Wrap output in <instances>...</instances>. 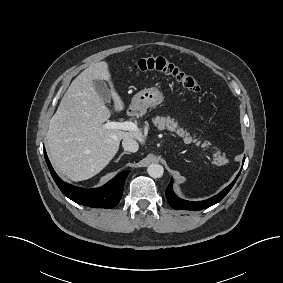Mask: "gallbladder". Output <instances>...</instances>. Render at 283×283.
I'll return each mask as SVG.
<instances>
[{"label":"gallbladder","mask_w":283,"mask_h":283,"mask_svg":"<svg viewBox=\"0 0 283 283\" xmlns=\"http://www.w3.org/2000/svg\"><path fill=\"white\" fill-rule=\"evenodd\" d=\"M93 84L96 92L99 94L103 102L110 103L111 93L109 91V88L107 87V84L102 80H94Z\"/></svg>","instance_id":"1"}]
</instances>
